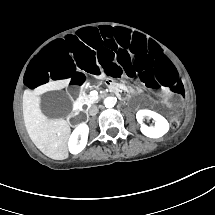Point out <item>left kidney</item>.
Wrapping results in <instances>:
<instances>
[{
    "label": "left kidney",
    "mask_w": 215,
    "mask_h": 215,
    "mask_svg": "<svg viewBox=\"0 0 215 215\" xmlns=\"http://www.w3.org/2000/svg\"><path fill=\"white\" fill-rule=\"evenodd\" d=\"M152 118L155 121V126L148 127L144 124L145 118ZM137 122L140 124L141 132L150 138H159L165 135L169 130L168 121L155 111L142 109L136 113Z\"/></svg>",
    "instance_id": "obj_1"
}]
</instances>
